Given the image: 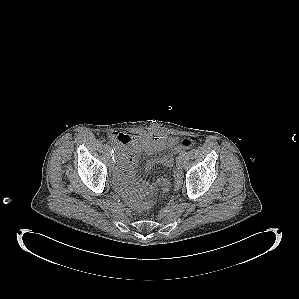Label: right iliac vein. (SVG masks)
<instances>
[{
    "mask_svg": "<svg viewBox=\"0 0 299 299\" xmlns=\"http://www.w3.org/2000/svg\"><path fill=\"white\" fill-rule=\"evenodd\" d=\"M113 167V163H111V168Z\"/></svg>",
    "mask_w": 299,
    "mask_h": 299,
    "instance_id": "obj_1",
    "label": "right iliac vein"
}]
</instances>
